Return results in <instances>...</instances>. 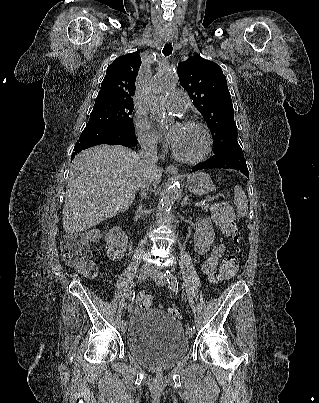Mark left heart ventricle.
Returning <instances> with one entry per match:
<instances>
[{
  "mask_svg": "<svg viewBox=\"0 0 319 403\" xmlns=\"http://www.w3.org/2000/svg\"><path fill=\"white\" fill-rule=\"evenodd\" d=\"M174 150L183 157L193 158L199 156L205 148L203 132L194 126L180 125V132Z\"/></svg>",
  "mask_w": 319,
  "mask_h": 403,
  "instance_id": "left-heart-ventricle-1",
  "label": "left heart ventricle"
}]
</instances>
